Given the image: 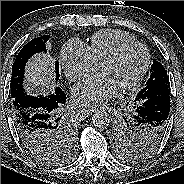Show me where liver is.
<instances>
[{"mask_svg":"<svg viewBox=\"0 0 184 184\" xmlns=\"http://www.w3.org/2000/svg\"><path fill=\"white\" fill-rule=\"evenodd\" d=\"M26 89L37 93L54 89V63L51 55L37 54L26 66Z\"/></svg>","mask_w":184,"mask_h":184,"instance_id":"liver-1","label":"liver"}]
</instances>
